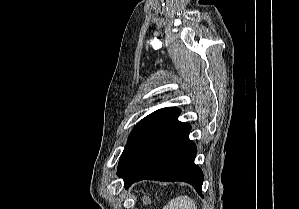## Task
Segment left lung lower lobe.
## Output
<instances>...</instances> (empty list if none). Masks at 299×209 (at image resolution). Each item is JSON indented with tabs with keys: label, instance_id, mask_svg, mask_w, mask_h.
I'll return each mask as SVG.
<instances>
[{
	"label": "left lung lower lobe",
	"instance_id": "1",
	"mask_svg": "<svg viewBox=\"0 0 299 209\" xmlns=\"http://www.w3.org/2000/svg\"><path fill=\"white\" fill-rule=\"evenodd\" d=\"M179 114L176 107L159 109L132 131L117 171L126 189L143 179L185 181L202 196L203 173L194 164L197 148L188 138L190 125L179 122Z\"/></svg>",
	"mask_w": 299,
	"mask_h": 209
}]
</instances>
